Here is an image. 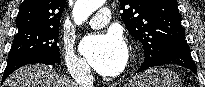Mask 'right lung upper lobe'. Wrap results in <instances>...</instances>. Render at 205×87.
Returning <instances> with one entry per match:
<instances>
[{
	"mask_svg": "<svg viewBox=\"0 0 205 87\" xmlns=\"http://www.w3.org/2000/svg\"><path fill=\"white\" fill-rule=\"evenodd\" d=\"M65 3L66 0H24L16 19L18 32L59 28Z\"/></svg>",
	"mask_w": 205,
	"mask_h": 87,
	"instance_id": "cb5924a9",
	"label": "right lung upper lobe"
}]
</instances>
